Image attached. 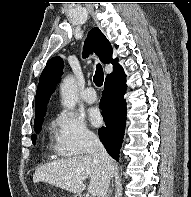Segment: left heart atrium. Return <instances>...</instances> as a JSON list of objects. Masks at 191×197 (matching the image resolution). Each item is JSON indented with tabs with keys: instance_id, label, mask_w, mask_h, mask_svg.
<instances>
[{
	"instance_id": "1",
	"label": "left heart atrium",
	"mask_w": 191,
	"mask_h": 197,
	"mask_svg": "<svg viewBox=\"0 0 191 197\" xmlns=\"http://www.w3.org/2000/svg\"><path fill=\"white\" fill-rule=\"evenodd\" d=\"M89 118L94 126H100L102 124L103 118L98 109H92L89 113Z\"/></svg>"
}]
</instances>
